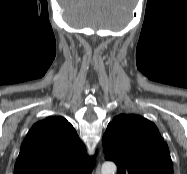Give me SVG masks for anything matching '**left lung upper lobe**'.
<instances>
[{"label":"left lung upper lobe","mask_w":187,"mask_h":174,"mask_svg":"<svg viewBox=\"0 0 187 174\" xmlns=\"http://www.w3.org/2000/svg\"><path fill=\"white\" fill-rule=\"evenodd\" d=\"M105 159L114 161L117 174H173L167 144L157 127L134 114H120L102 138Z\"/></svg>","instance_id":"left-lung-upper-lobe-1"}]
</instances>
